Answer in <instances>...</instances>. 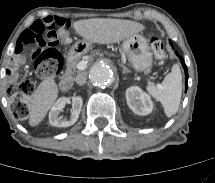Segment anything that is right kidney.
Masks as SVG:
<instances>
[{
	"mask_svg": "<svg viewBox=\"0 0 215 183\" xmlns=\"http://www.w3.org/2000/svg\"><path fill=\"white\" fill-rule=\"evenodd\" d=\"M70 99L72 104L70 118H63L60 116L64 106L70 102L69 98L62 97L55 102L49 112V122L52 126L69 127L77 121L82 108L83 100L79 96H73Z\"/></svg>",
	"mask_w": 215,
	"mask_h": 183,
	"instance_id": "obj_1",
	"label": "right kidney"
}]
</instances>
